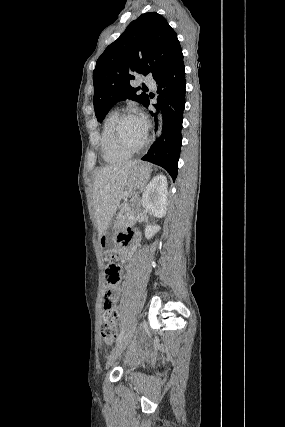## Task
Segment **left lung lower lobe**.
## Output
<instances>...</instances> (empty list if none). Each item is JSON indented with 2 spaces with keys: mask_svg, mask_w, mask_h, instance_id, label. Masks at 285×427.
<instances>
[{
  "mask_svg": "<svg viewBox=\"0 0 285 427\" xmlns=\"http://www.w3.org/2000/svg\"><path fill=\"white\" fill-rule=\"evenodd\" d=\"M161 94L160 109L163 115L162 135L142 160L163 167L174 180L182 144V121L185 107V66L182 51L170 67L155 80ZM149 103L146 107H148ZM152 115L153 113L150 112Z\"/></svg>",
  "mask_w": 285,
  "mask_h": 427,
  "instance_id": "obj_1",
  "label": "left lung lower lobe"
}]
</instances>
